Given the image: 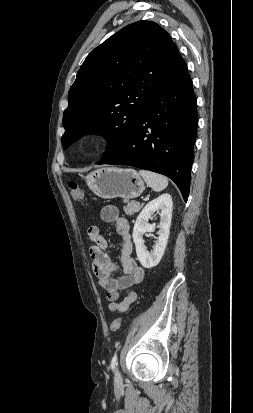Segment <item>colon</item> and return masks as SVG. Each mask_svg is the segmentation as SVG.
<instances>
[{
	"label": "colon",
	"mask_w": 253,
	"mask_h": 413,
	"mask_svg": "<svg viewBox=\"0 0 253 413\" xmlns=\"http://www.w3.org/2000/svg\"><path fill=\"white\" fill-rule=\"evenodd\" d=\"M67 188H68L70 195L75 201H82L84 194L76 182H73V181L69 182L67 185ZM121 323H122L121 318L114 319L110 324V330L112 332L118 331L121 326Z\"/></svg>",
	"instance_id": "obj_1"
}]
</instances>
